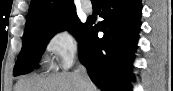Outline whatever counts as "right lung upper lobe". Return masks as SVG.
Returning <instances> with one entry per match:
<instances>
[{"mask_svg": "<svg viewBox=\"0 0 173 91\" xmlns=\"http://www.w3.org/2000/svg\"><path fill=\"white\" fill-rule=\"evenodd\" d=\"M76 14L73 0H31L26 29L50 24Z\"/></svg>", "mask_w": 173, "mask_h": 91, "instance_id": "right-lung-upper-lobe-1", "label": "right lung upper lobe"}]
</instances>
